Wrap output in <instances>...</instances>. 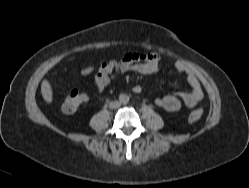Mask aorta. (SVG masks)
Masks as SVG:
<instances>
[{
  "mask_svg": "<svg viewBox=\"0 0 249 188\" xmlns=\"http://www.w3.org/2000/svg\"><path fill=\"white\" fill-rule=\"evenodd\" d=\"M129 96L127 95V94H120L119 95V101H120V103H122V104H127L128 102H129Z\"/></svg>",
  "mask_w": 249,
  "mask_h": 188,
  "instance_id": "obj_1",
  "label": "aorta"
}]
</instances>
